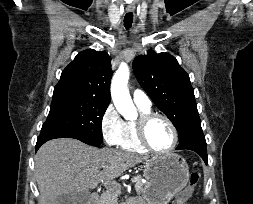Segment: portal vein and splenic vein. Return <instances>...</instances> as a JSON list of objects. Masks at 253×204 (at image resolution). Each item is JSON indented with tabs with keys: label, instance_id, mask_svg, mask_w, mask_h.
Instances as JSON below:
<instances>
[{
	"label": "portal vein and splenic vein",
	"instance_id": "obj_1",
	"mask_svg": "<svg viewBox=\"0 0 253 204\" xmlns=\"http://www.w3.org/2000/svg\"><path fill=\"white\" fill-rule=\"evenodd\" d=\"M98 174V172L94 173V176H96ZM138 180L137 176H134L131 178V182L134 183Z\"/></svg>",
	"mask_w": 253,
	"mask_h": 204
}]
</instances>
